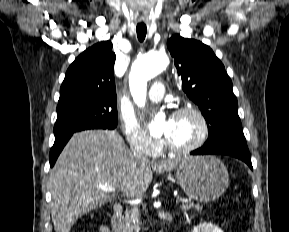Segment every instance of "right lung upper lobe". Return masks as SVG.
Listing matches in <instances>:
<instances>
[{"mask_svg": "<svg viewBox=\"0 0 289 232\" xmlns=\"http://www.w3.org/2000/svg\"><path fill=\"white\" fill-rule=\"evenodd\" d=\"M112 47L110 41H102L75 59L61 85L58 105L84 98L117 101Z\"/></svg>", "mask_w": 289, "mask_h": 232, "instance_id": "obj_1", "label": "right lung upper lobe"}]
</instances>
